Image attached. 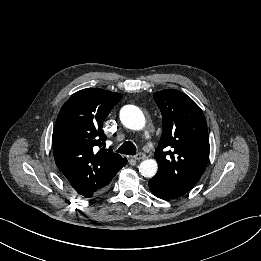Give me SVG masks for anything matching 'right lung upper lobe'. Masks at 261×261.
<instances>
[{
    "mask_svg": "<svg viewBox=\"0 0 261 261\" xmlns=\"http://www.w3.org/2000/svg\"><path fill=\"white\" fill-rule=\"evenodd\" d=\"M122 95L99 88L73 94L61 108L52 135L57 167L74 190L85 198L96 196L127 163L104 146L102 123Z\"/></svg>",
    "mask_w": 261,
    "mask_h": 261,
    "instance_id": "obj_1",
    "label": "right lung upper lobe"
}]
</instances>
